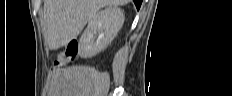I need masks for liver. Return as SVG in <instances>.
<instances>
[{"mask_svg": "<svg viewBox=\"0 0 232 96\" xmlns=\"http://www.w3.org/2000/svg\"><path fill=\"white\" fill-rule=\"evenodd\" d=\"M130 0H45L46 44L56 50L76 39L86 23L105 6L125 5Z\"/></svg>", "mask_w": 232, "mask_h": 96, "instance_id": "obj_1", "label": "liver"}]
</instances>
